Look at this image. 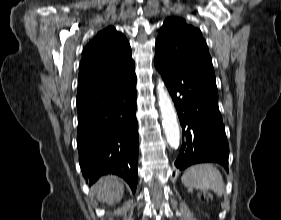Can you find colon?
I'll list each match as a JSON object with an SVG mask.
<instances>
[{
	"mask_svg": "<svg viewBox=\"0 0 281 220\" xmlns=\"http://www.w3.org/2000/svg\"><path fill=\"white\" fill-rule=\"evenodd\" d=\"M201 198L204 199V200H206V201H209V200L212 199V195H211L210 193H203V194L201 195Z\"/></svg>",
	"mask_w": 281,
	"mask_h": 220,
	"instance_id": "1",
	"label": "colon"
}]
</instances>
